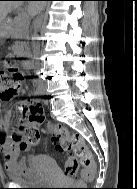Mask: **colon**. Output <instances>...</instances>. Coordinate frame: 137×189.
<instances>
[{
	"instance_id": "1",
	"label": "colon",
	"mask_w": 137,
	"mask_h": 189,
	"mask_svg": "<svg viewBox=\"0 0 137 189\" xmlns=\"http://www.w3.org/2000/svg\"><path fill=\"white\" fill-rule=\"evenodd\" d=\"M22 78V73L13 64H9L6 69H0V98L3 100L13 98ZM24 111L28 124L20 127L15 133V138L27 146H35L40 141V125L44 119V110L41 104H31L25 106ZM46 131L57 151L69 153L64 163V174L67 177H76L79 165H82L83 178L85 180L94 178L96 165L81 136L69 134L61 125H49Z\"/></svg>"
}]
</instances>
